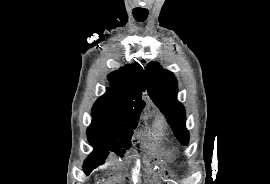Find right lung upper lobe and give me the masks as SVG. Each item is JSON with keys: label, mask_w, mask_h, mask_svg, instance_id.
<instances>
[{"label": "right lung upper lobe", "mask_w": 270, "mask_h": 184, "mask_svg": "<svg viewBox=\"0 0 270 184\" xmlns=\"http://www.w3.org/2000/svg\"><path fill=\"white\" fill-rule=\"evenodd\" d=\"M110 87L95 102L92 113L95 121L131 123L138 121L145 102L141 100L145 90L143 68L134 63L125 65L108 75Z\"/></svg>", "instance_id": "1"}]
</instances>
